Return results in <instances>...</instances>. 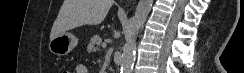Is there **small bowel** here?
I'll list each match as a JSON object with an SVG mask.
<instances>
[{"mask_svg": "<svg viewBox=\"0 0 244 73\" xmlns=\"http://www.w3.org/2000/svg\"><path fill=\"white\" fill-rule=\"evenodd\" d=\"M76 73H88L87 67L84 64H78L75 68Z\"/></svg>", "mask_w": 244, "mask_h": 73, "instance_id": "small-bowel-1", "label": "small bowel"}]
</instances>
